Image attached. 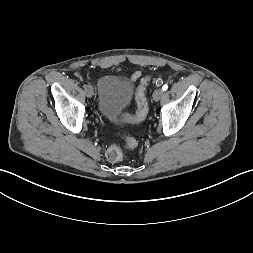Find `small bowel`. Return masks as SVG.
Segmentation results:
<instances>
[{"label": "small bowel", "instance_id": "1", "mask_svg": "<svg viewBox=\"0 0 253 253\" xmlns=\"http://www.w3.org/2000/svg\"><path fill=\"white\" fill-rule=\"evenodd\" d=\"M140 76V72H134L131 76H130V80L131 81H135L138 77Z\"/></svg>", "mask_w": 253, "mask_h": 253}]
</instances>
